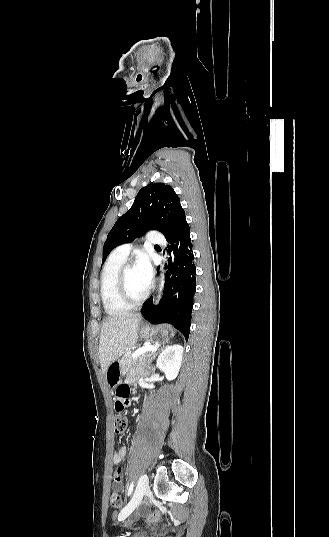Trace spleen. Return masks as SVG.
Returning <instances> with one entry per match:
<instances>
[{
	"label": "spleen",
	"mask_w": 329,
	"mask_h": 537,
	"mask_svg": "<svg viewBox=\"0 0 329 537\" xmlns=\"http://www.w3.org/2000/svg\"><path fill=\"white\" fill-rule=\"evenodd\" d=\"M171 336H172V337L174 336V332L171 333Z\"/></svg>",
	"instance_id": "spleen-1"
}]
</instances>
